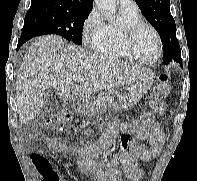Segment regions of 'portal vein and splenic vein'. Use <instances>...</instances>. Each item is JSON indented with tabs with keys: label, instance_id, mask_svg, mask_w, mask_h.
<instances>
[{
	"label": "portal vein and splenic vein",
	"instance_id": "portal-vein-and-splenic-vein-1",
	"mask_svg": "<svg viewBox=\"0 0 197 181\" xmlns=\"http://www.w3.org/2000/svg\"><path fill=\"white\" fill-rule=\"evenodd\" d=\"M73 80L74 81H84L85 77L82 76V75H76V76L73 77Z\"/></svg>",
	"mask_w": 197,
	"mask_h": 181
}]
</instances>
